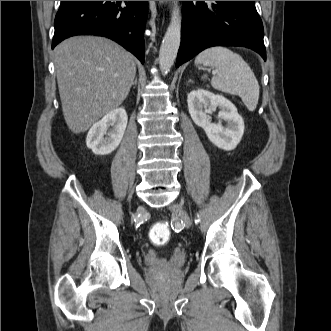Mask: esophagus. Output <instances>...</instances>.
Masks as SVG:
<instances>
[{"label": "esophagus", "mask_w": 331, "mask_h": 331, "mask_svg": "<svg viewBox=\"0 0 331 331\" xmlns=\"http://www.w3.org/2000/svg\"><path fill=\"white\" fill-rule=\"evenodd\" d=\"M160 3H164V2H167V1H159Z\"/></svg>", "instance_id": "esophagus-1"}]
</instances>
